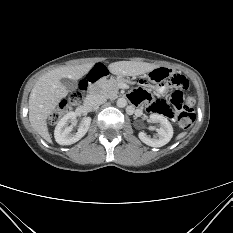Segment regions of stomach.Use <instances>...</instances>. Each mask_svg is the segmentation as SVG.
I'll list each match as a JSON object with an SVG mask.
<instances>
[{"label": "stomach", "instance_id": "0dacf381", "mask_svg": "<svg viewBox=\"0 0 233 233\" xmlns=\"http://www.w3.org/2000/svg\"><path fill=\"white\" fill-rule=\"evenodd\" d=\"M170 74H171V70L169 68L157 67L154 70L148 72L147 77L149 81L155 83L157 81H160L161 79H164Z\"/></svg>", "mask_w": 233, "mask_h": 233}]
</instances>
